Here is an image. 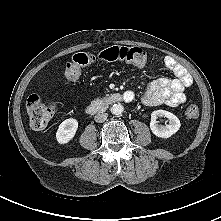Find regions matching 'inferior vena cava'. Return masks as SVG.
<instances>
[{"label": "inferior vena cava", "mask_w": 221, "mask_h": 221, "mask_svg": "<svg viewBox=\"0 0 221 221\" xmlns=\"http://www.w3.org/2000/svg\"><path fill=\"white\" fill-rule=\"evenodd\" d=\"M107 117H108L107 113H100V114L95 115L94 120L97 123H103L107 119Z\"/></svg>", "instance_id": "inferior-vena-cava-1"}]
</instances>
